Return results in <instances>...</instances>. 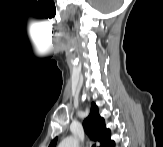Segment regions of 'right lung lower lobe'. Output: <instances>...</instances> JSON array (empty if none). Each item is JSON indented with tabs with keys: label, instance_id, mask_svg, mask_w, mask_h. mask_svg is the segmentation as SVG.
<instances>
[{
	"label": "right lung lower lobe",
	"instance_id": "right-lung-lower-lobe-1",
	"mask_svg": "<svg viewBox=\"0 0 163 147\" xmlns=\"http://www.w3.org/2000/svg\"><path fill=\"white\" fill-rule=\"evenodd\" d=\"M114 146H115L114 141H111V142L107 145V147H114Z\"/></svg>",
	"mask_w": 163,
	"mask_h": 147
}]
</instances>
